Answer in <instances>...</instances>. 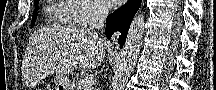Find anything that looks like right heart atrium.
I'll use <instances>...</instances> for the list:
<instances>
[{
  "mask_svg": "<svg viewBox=\"0 0 216 90\" xmlns=\"http://www.w3.org/2000/svg\"><path fill=\"white\" fill-rule=\"evenodd\" d=\"M68 3H75L76 6H84L80 20H98L103 14V8L95 4L94 0H67Z\"/></svg>",
  "mask_w": 216,
  "mask_h": 90,
  "instance_id": "right-heart-atrium-1",
  "label": "right heart atrium"
}]
</instances>
